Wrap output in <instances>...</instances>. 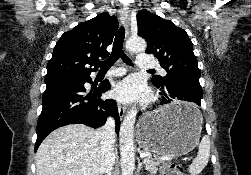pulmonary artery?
<instances>
[{"label": "pulmonary artery", "instance_id": "e3ab8cb5", "mask_svg": "<svg viewBox=\"0 0 251 175\" xmlns=\"http://www.w3.org/2000/svg\"><path fill=\"white\" fill-rule=\"evenodd\" d=\"M148 52H138V58L137 62H135V67H141V71H146V67H149L150 69L153 67L154 69L157 67L160 69L161 67L158 66V62L156 58H147ZM127 72L124 68H117L112 71H110V75L113 76H119L123 75ZM161 73L160 71L158 72ZM161 79H166V74H161Z\"/></svg>", "mask_w": 251, "mask_h": 175}]
</instances>
